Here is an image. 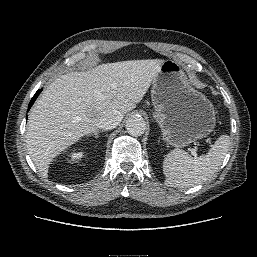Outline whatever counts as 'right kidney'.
I'll use <instances>...</instances> for the list:
<instances>
[{"label": "right kidney", "instance_id": "1", "mask_svg": "<svg viewBox=\"0 0 257 257\" xmlns=\"http://www.w3.org/2000/svg\"><path fill=\"white\" fill-rule=\"evenodd\" d=\"M82 156H83V152H72L70 154V157L72 160L80 159V158H82Z\"/></svg>", "mask_w": 257, "mask_h": 257}]
</instances>
